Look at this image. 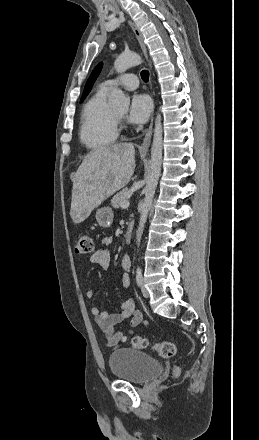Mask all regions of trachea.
Segmentation results:
<instances>
[{"mask_svg":"<svg viewBox=\"0 0 259 440\" xmlns=\"http://www.w3.org/2000/svg\"><path fill=\"white\" fill-rule=\"evenodd\" d=\"M141 78L144 82H147L149 80V72L147 70H142Z\"/></svg>","mask_w":259,"mask_h":440,"instance_id":"trachea-1","label":"trachea"}]
</instances>
